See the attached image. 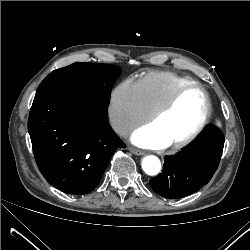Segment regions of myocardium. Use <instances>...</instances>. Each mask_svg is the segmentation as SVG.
<instances>
[{"label": "myocardium", "instance_id": "obj_1", "mask_svg": "<svg viewBox=\"0 0 250 250\" xmlns=\"http://www.w3.org/2000/svg\"><path fill=\"white\" fill-rule=\"evenodd\" d=\"M191 89H199L203 93L206 104L205 113L201 122L189 135L170 144L173 148L176 149L185 147L193 142L206 128L212 112V102L208 91L199 83L192 82L184 84L176 89L175 92L170 96V98L158 110H156L150 118L151 123H155L156 121H158L176 105L180 97L186 91Z\"/></svg>", "mask_w": 250, "mask_h": 250}]
</instances>
